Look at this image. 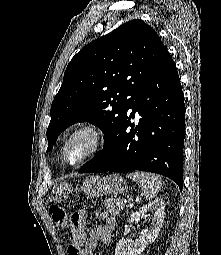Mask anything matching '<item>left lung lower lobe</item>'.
I'll return each instance as SVG.
<instances>
[{
  "mask_svg": "<svg viewBox=\"0 0 221 255\" xmlns=\"http://www.w3.org/2000/svg\"><path fill=\"white\" fill-rule=\"evenodd\" d=\"M136 111L140 118L131 123ZM185 105L175 63L166 51L102 151L78 173L140 170L172 179L183 188Z\"/></svg>",
  "mask_w": 221,
  "mask_h": 255,
  "instance_id": "obj_1",
  "label": "left lung lower lobe"
}]
</instances>
